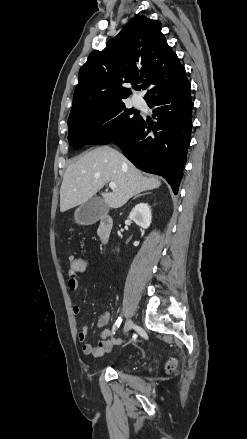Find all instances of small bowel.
Here are the masks:
<instances>
[{
	"label": "small bowel",
	"mask_w": 247,
	"mask_h": 439,
	"mask_svg": "<svg viewBox=\"0 0 247 439\" xmlns=\"http://www.w3.org/2000/svg\"><path fill=\"white\" fill-rule=\"evenodd\" d=\"M77 272H74L72 270H69L68 272V287L71 291H76L79 287V281ZM73 315L78 317L82 313V307L75 305L72 308ZM110 320V313L104 312L97 320L96 326L97 328H102L108 324ZM89 334V329L87 326H83L79 333H78V339L82 343V351L86 355H92L94 357H101L105 353L109 352L116 342L112 338V332L109 329H104L101 332V341L98 343L97 346H92L90 343L86 342V339Z\"/></svg>",
	"instance_id": "c3829d8e"
}]
</instances>
